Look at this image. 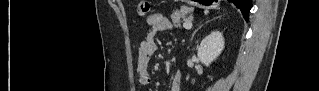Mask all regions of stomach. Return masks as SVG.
I'll list each match as a JSON object with an SVG mask.
<instances>
[{"instance_id": "0dacf381", "label": "stomach", "mask_w": 319, "mask_h": 91, "mask_svg": "<svg viewBox=\"0 0 319 91\" xmlns=\"http://www.w3.org/2000/svg\"><path fill=\"white\" fill-rule=\"evenodd\" d=\"M213 1H204L202 3H196L198 4V6H206V8L210 7V5L212 4Z\"/></svg>"}]
</instances>
